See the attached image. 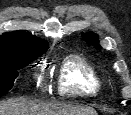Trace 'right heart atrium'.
<instances>
[{
    "label": "right heart atrium",
    "mask_w": 131,
    "mask_h": 115,
    "mask_svg": "<svg viewBox=\"0 0 131 115\" xmlns=\"http://www.w3.org/2000/svg\"><path fill=\"white\" fill-rule=\"evenodd\" d=\"M34 77L38 85L42 84L43 76L40 73H34Z\"/></svg>",
    "instance_id": "right-heart-atrium-1"
}]
</instances>
